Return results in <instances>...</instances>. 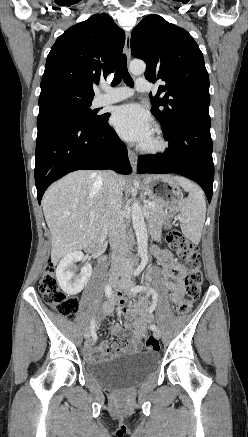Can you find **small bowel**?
Here are the masks:
<instances>
[{
    "instance_id": "small-bowel-1",
    "label": "small bowel",
    "mask_w": 248,
    "mask_h": 437,
    "mask_svg": "<svg viewBox=\"0 0 248 437\" xmlns=\"http://www.w3.org/2000/svg\"><path fill=\"white\" fill-rule=\"evenodd\" d=\"M156 254L162 264L161 274L164 279V285L171 292L172 302L178 304L184 294L182 279L185 274V268L173 260L171 253L167 250H159ZM116 298L119 306L125 308L127 300L124 296L119 293ZM147 306L148 302L146 299H142L139 302L135 312H139L141 316L135 319L132 325V335L129 342H119L109 346L106 341H103L96 346L95 340L91 339L87 341L84 348L87 359L90 361H103L121 353L139 351L141 340L145 336L147 323L151 320V316L147 313ZM112 309L113 299H110L105 303L104 310L106 313H110ZM111 333L118 338H123L124 336V331L118 324L111 327Z\"/></svg>"
}]
</instances>
